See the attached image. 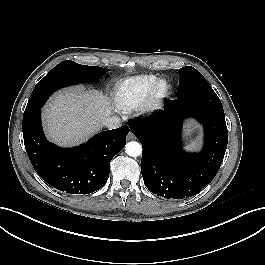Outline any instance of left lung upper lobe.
<instances>
[{
    "label": "left lung upper lobe",
    "instance_id": "left-lung-upper-lobe-1",
    "mask_svg": "<svg viewBox=\"0 0 265 265\" xmlns=\"http://www.w3.org/2000/svg\"><path fill=\"white\" fill-rule=\"evenodd\" d=\"M179 75L176 102L180 107L224 116L221 101L199 71L185 66L179 69Z\"/></svg>",
    "mask_w": 265,
    "mask_h": 265
}]
</instances>
